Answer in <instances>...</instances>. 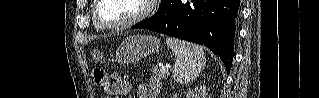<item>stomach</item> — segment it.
Masks as SVG:
<instances>
[{
    "label": "stomach",
    "instance_id": "0dacf381",
    "mask_svg": "<svg viewBox=\"0 0 319 98\" xmlns=\"http://www.w3.org/2000/svg\"><path fill=\"white\" fill-rule=\"evenodd\" d=\"M160 40L151 35H133L123 40L116 52V61L128 64L158 53Z\"/></svg>",
    "mask_w": 319,
    "mask_h": 98
}]
</instances>
